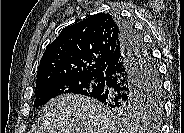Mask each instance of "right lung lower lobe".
<instances>
[{"mask_svg": "<svg viewBox=\"0 0 184 133\" xmlns=\"http://www.w3.org/2000/svg\"><path fill=\"white\" fill-rule=\"evenodd\" d=\"M121 30L120 48L105 69L104 87L95 96L106 106L138 102L145 98L151 84L150 59L142 38L133 27L116 17Z\"/></svg>", "mask_w": 184, "mask_h": 133, "instance_id": "right-lung-lower-lobe-1", "label": "right lung lower lobe"}]
</instances>
